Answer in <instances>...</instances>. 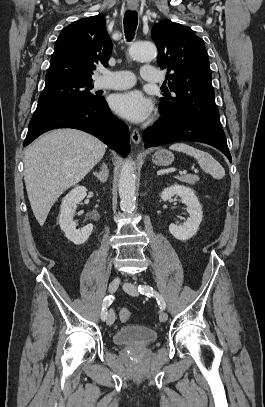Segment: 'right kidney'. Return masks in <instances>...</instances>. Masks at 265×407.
<instances>
[{"label":"right kidney","instance_id":"ca27d5eb","mask_svg":"<svg viewBox=\"0 0 265 407\" xmlns=\"http://www.w3.org/2000/svg\"><path fill=\"white\" fill-rule=\"evenodd\" d=\"M87 195V189L84 186H77L72 189L62 200L59 215V224L65 236L76 245L84 244L93 231V225L88 224L81 230H76V224L73 221L77 204Z\"/></svg>","mask_w":265,"mask_h":407}]
</instances>
